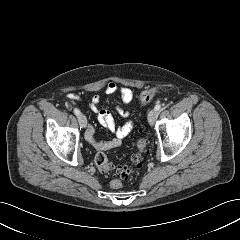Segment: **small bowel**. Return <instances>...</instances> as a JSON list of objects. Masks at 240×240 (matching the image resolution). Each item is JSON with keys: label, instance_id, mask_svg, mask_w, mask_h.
Segmentation results:
<instances>
[{"label": "small bowel", "instance_id": "c3829d8e", "mask_svg": "<svg viewBox=\"0 0 240 240\" xmlns=\"http://www.w3.org/2000/svg\"><path fill=\"white\" fill-rule=\"evenodd\" d=\"M104 92L108 95L119 93L123 105L130 104L134 98V93L131 88L127 86L117 85L114 82L107 83L104 88ZM70 98L72 100H79L80 96L78 94H71ZM99 103L100 96L95 94L92 96L89 102V108L97 115L98 122L103 127L107 128L110 132H112L114 137L105 141L97 140L95 138L94 127L92 125H89L86 130V139L97 150L105 151L119 147L121 145L122 139L129 135L132 131L133 122L128 121L123 125H117L111 112L107 109L100 108ZM116 110L121 116L128 117L130 115V112L120 105L116 107Z\"/></svg>", "mask_w": 240, "mask_h": 240}]
</instances>
